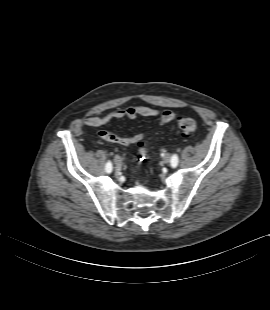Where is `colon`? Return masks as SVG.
<instances>
[{"instance_id":"colon-1","label":"colon","mask_w":270,"mask_h":310,"mask_svg":"<svg viewBox=\"0 0 270 310\" xmlns=\"http://www.w3.org/2000/svg\"><path fill=\"white\" fill-rule=\"evenodd\" d=\"M177 124L179 129L185 134H191L197 130L196 121L189 117H178ZM138 153L141 157H146L147 145L145 142L138 143Z\"/></svg>"}]
</instances>
